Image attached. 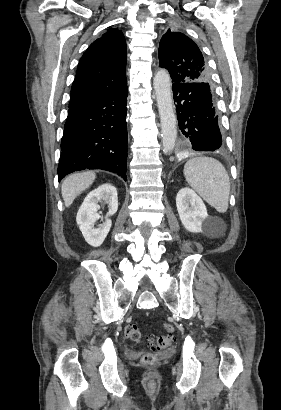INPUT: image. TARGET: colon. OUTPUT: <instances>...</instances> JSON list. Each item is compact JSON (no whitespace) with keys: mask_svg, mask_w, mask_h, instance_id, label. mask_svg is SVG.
<instances>
[{"mask_svg":"<svg viewBox=\"0 0 281 410\" xmlns=\"http://www.w3.org/2000/svg\"><path fill=\"white\" fill-rule=\"evenodd\" d=\"M163 327L166 332L165 335L153 337L150 339V345L155 350L164 349L173 343L172 333L174 332V326L172 324L165 323ZM124 335L126 339L135 343H139L142 338L140 328L136 324L127 325L124 329ZM142 361L145 364H154L157 361V357L154 353H146L142 357Z\"/></svg>","mask_w":281,"mask_h":410,"instance_id":"colon-1","label":"colon"}]
</instances>
